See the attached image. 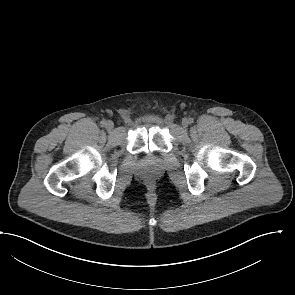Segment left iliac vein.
<instances>
[{
	"instance_id": "left-iliac-vein-1",
	"label": "left iliac vein",
	"mask_w": 295,
	"mask_h": 295,
	"mask_svg": "<svg viewBox=\"0 0 295 295\" xmlns=\"http://www.w3.org/2000/svg\"><path fill=\"white\" fill-rule=\"evenodd\" d=\"M188 125H189V120H188L187 118H184V119L182 120V126H183L184 128H186Z\"/></svg>"
}]
</instances>
